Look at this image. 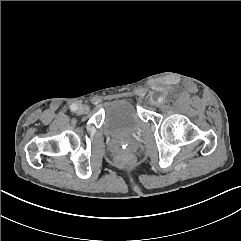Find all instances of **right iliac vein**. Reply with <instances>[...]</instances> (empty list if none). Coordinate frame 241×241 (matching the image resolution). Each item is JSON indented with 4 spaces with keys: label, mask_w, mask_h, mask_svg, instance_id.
Masks as SVG:
<instances>
[{
    "label": "right iliac vein",
    "mask_w": 241,
    "mask_h": 241,
    "mask_svg": "<svg viewBox=\"0 0 241 241\" xmlns=\"http://www.w3.org/2000/svg\"><path fill=\"white\" fill-rule=\"evenodd\" d=\"M87 111H88V108H87L86 106H84V105H80V106L78 107V110H77V112H78L79 114L86 113Z\"/></svg>",
    "instance_id": "1"
}]
</instances>
